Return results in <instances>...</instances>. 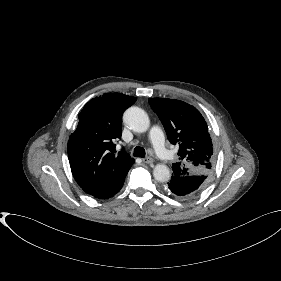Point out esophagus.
Masks as SVG:
<instances>
[{
	"label": "esophagus",
	"instance_id": "obj_1",
	"mask_svg": "<svg viewBox=\"0 0 281 281\" xmlns=\"http://www.w3.org/2000/svg\"><path fill=\"white\" fill-rule=\"evenodd\" d=\"M153 158H151V157H145V158H143V162L144 163H147V164H151V163H153Z\"/></svg>",
	"mask_w": 281,
	"mask_h": 281
}]
</instances>
